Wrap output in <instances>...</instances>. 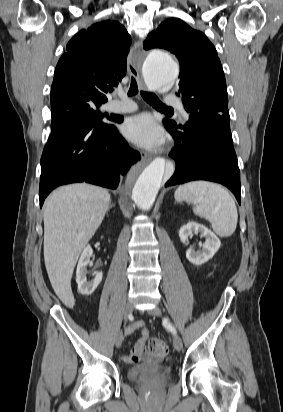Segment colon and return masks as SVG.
Listing matches in <instances>:
<instances>
[{
  "label": "colon",
  "instance_id": "5ec220e1",
  "mask_svg": "<svg viewBox=\"0 0 283 412\" xmlns=\"http://www.w3.org/2000/svg\"><path fill=\"white\" fill-rule=\"evenodd\" d=\"M149 352L157 358L166 356L169 353L168 345L158 339H148L146 341Z\"/></svg>",
  "mask_w": 283,
  "mask_h": 412
}]
</instances>
